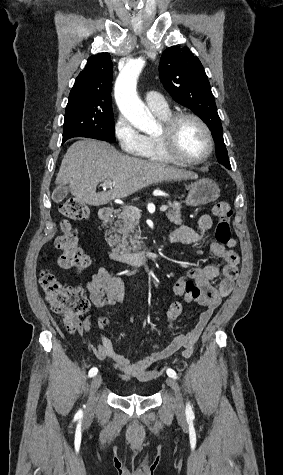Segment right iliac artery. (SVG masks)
<instances>
[{
    "label": "right iliac artery",
    "mask_w": 283,
    "mask_h": 475,
    "mask_svg": "<svg viewBox=\"0 0 283 475\" xmlns=\"http://www.w3.org/2000/svg\"><path fill=\"white\" fill-rule=\"evenodd\" d=\"M97 372H98V369L96 367L91 368L90 371H89V377L95 376L97 374ZM76 417L77 418L82 417V410H79L77 412Z\"/></svg>",
    "instance_id": "1"
}]
</instances>
